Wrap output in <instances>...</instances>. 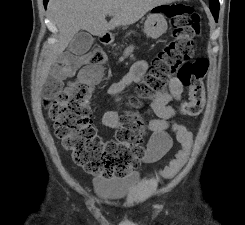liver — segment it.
Instances as JSON below:
<instances>
[{"instance_id": "1", "label": "liver", "mask_w": 245, "mask_h": 225, "mask_svg": "<svg viewBox=\"0 0 245 225\" xmlns=\"http://www.w3.org/2000/svg\"><path fill=\"white\" fill-rule=\"evenodd\" d=\"M173 0H50L48 10L59 34L56 44L47 53L40 76L45 82L51 65L63 53L79 30L102 36L118 26L136 23L154 7ZM113 13L110 22L106 15Z\"/></svg>"}]
</instances>
